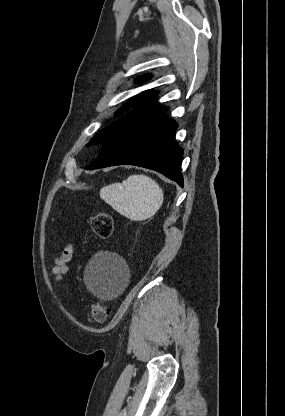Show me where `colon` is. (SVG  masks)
I'll return each mask as SVG.
<instances>
[{
	"mask_svg": "<svg viewBox=\"0 0 285 416\" xmlns=\"http://www.w3.org/2000/svg\"><path fill=\"white\" fill-rule=\"evenodd\" d=\"M89 225L95 236L100 239H107L113 233V219L109 213L98 212L89 218ZM111 307L102 300L93 302L90 305V318L92 321L102 324L111 315Z\"/></svg>",
	"mask_w": 285,
	"mask_h": 416,
	"instance_id": "5ec220e1",
	"label": "colon"
}]
</instances>
